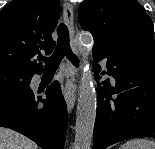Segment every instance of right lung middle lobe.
I'll return each instance as SVG.
<instances>
[{
    "label": "right lung middle lobe",
    "instance_id": "1",
    "mask_svg": "<svg viewBox=\"0 0 155 149\" xmlns=\"http://www.w3.org/2000/svg\"><path fill=\"white\" fill-rule=\"evenodd\" d=\"M32 75L9 68H0V97H20L31 94Z\"/></svg>",
    "mask_w": 155,
    "mask_h": 149
}]
</instances>
